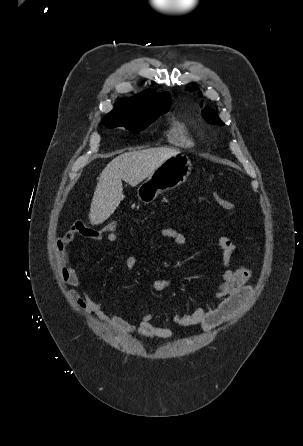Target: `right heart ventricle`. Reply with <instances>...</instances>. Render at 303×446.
<instances>
[{
  "instance_id": "right-heart-ventricle-1",
  "label": "right heart ventricle",
  "mask_w": 303,
  "mask_h": 446,
  "mask_svg": "<svg viewBox=\"0 0 303 446\" xmlns=\"http://www.w3.org/2000/svg\"><path fill=\"white\" fill-rule=\"evenodd\" d=\"M168 142L172 145L189 148L194 145V141L186 127V125L180 121H174L171 123L168 135Z\"/></svg>"
}]
</instances>
